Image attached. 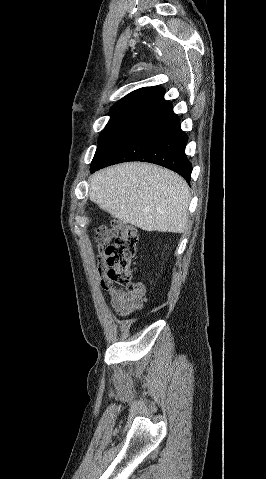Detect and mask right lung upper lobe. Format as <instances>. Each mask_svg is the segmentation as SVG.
<instances>
[{
  "instance_id": "1",
  "label": "right lung upper lobe",
  "mask_w": 266,
  "mask_h": 479,
  "mask_svg": "<svg viewBox=\"0 0 266 479\" xmlns=\"http://www.w3.org/2000/svg\"><path fill=\"white\" fill-rule=\"evenodd\" d=\"M162 87H144L126 95L110 108L111 113L133 112L139 113L146 107L164 96Z\"/></svg>"
}]
</instances>
